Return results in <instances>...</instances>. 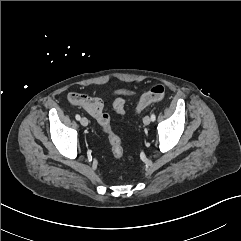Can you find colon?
Returning <instances> with one entry per match:
<instances>
[{"instance_id": "1", "label": "colon", "mask_w": 241, "mask_h": 241, "mask_svg": "<svg viewBox=\"0 0 241 241\" xmlns=\"http://www.w3.org/2000/svg\"><path fill=\"white\" fill-rule=\"evenodd\" d=\"M166 89L163 85L158 84L153 86L146 94H144L138 101L135 112L139 113L153 102L160 101L165 96ZM113 108L118 114L125 113V100L123 98H116L113 102ZM97 121L102 130L107 134L109 144L114 158L121 159L124 154V148L120 137L112 131L111 118L108 113L102 112Z\"/></svg>"}]
</instances>
